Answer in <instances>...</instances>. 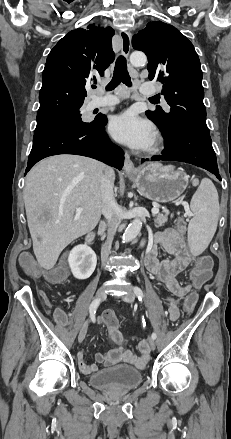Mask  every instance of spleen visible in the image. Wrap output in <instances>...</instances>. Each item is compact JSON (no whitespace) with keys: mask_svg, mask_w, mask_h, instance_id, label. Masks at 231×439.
Returning <instances> with one entry per match:
<instances>
[{"mask_svg":"<svg viewBox=\"0 0 231 439\" xmlns=\"http://www.w3.org/2000/svg\"><path fill=\"white\" fill-rule=\"evenodd\" d=\"M171 167H165V170ZM190 208L194 213L188 225V243L191 253L200 255L208 247L218 224L219 200L213 182L203 178L193 195Z\"/></svg>","mask_w":231,"mask_h":439,"instance_id":"obj_1","label":"spleen"}]
</instances>
